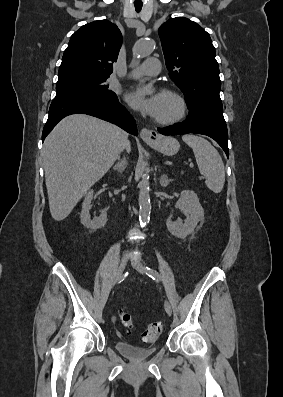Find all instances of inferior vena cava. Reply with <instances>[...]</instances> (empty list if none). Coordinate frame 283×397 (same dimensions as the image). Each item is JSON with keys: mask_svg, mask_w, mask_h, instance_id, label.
Masks as SVG:
<instances>
[{"mask_svg": "<svg viewBox=\"0 0 283 397\" xmlns=\"http://www.w3.org/2000/svg\"><path fill=\"white\" fill-rule=\"evenodd\" d=\"M128 145H129L128 135L125 133L124 134V148L123 149H125V148L127 149Z\"/></svg>", "mask_w": 283, "mask_h": 397, "instance_id": "602c4592", "label": "inferior vena cava"}]
</instances>
